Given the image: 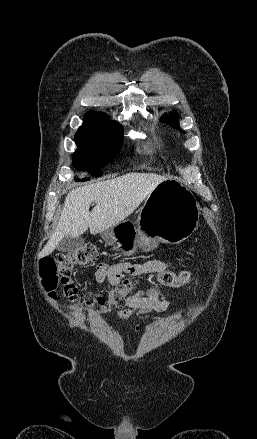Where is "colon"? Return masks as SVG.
<instances>
[{"label":"colon","instance_id":"colon-1","mask_svg":"<svg viewBox=\"0 0 257 439\" xmlns=\"http://www.w3.org/2000/svg\"><path fill=\"white\" fill-rule=\"evenodd\" d=\"M98 257V251L94 245H86L78 250L60 253L53 258H47L40 262L39 272L42 283L49 296L56 298V289H60V295L70 303L81 304L93 308L107 310L112 306L123 307L134 290V282L125 279L117 286L94 294L79 293L72 279V271L77 266H83L94 262ZM193 279L189 271H162L156 273L159 284L167 287H180Z\"/></svg>","mask_w":257,"mask_h":439}]
</instances>
